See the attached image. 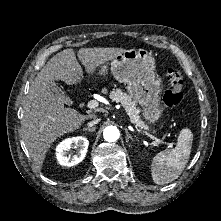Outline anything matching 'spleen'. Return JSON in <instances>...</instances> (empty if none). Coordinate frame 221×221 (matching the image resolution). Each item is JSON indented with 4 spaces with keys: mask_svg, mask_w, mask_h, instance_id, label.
Here are the masks:
<instances>
[{
    "mask_svg": "<svg viewBox=\"0 0 221 221\" xmlns=\"http://www.w3.org/2000/svg\"><path fill=\"white\" fill-rule=\"evenodd\" d=\"M192 141L191 130L184 128L180 131L173 150L161 151L153 157L151 175L156 184H168L180 176L189 160Z\"/></svg>",
    "mask_w": 221,
    "mask_h": 221,
    "instance_id": "obj_1",
    "label": "spleen"
}]
</instances>
